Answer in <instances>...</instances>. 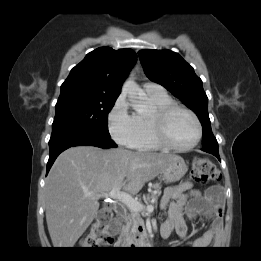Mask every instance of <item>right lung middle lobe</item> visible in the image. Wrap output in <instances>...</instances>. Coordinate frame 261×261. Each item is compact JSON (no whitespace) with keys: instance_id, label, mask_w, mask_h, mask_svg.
<instances>
[{"instance_id":"dd1d6c3e","label":"right lung middle lobe","mask_w":261,"mask_h":261,"mask_svg":"<svg viewBox=\"0 0 261 261\" xmlns=\"http://www.w3.org/2000/svg\"><path fill=\"white\" fill-rule=\"evenodd\" d=\"M117 97L60 95L52 135L80 130L109 135L107 116Z\"/></svg>"}]
</instances>
